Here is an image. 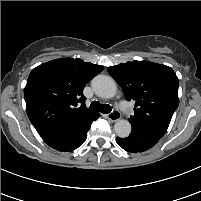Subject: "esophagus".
I'll return each mask as SVG.
<instances>
[{"label":"esophagus","instance_id":"obj_1","mask_svg":"<svg viewBox=\"0 0 201 201\" xmlns=\"http://www.w3.org/2000/svg\"><path fill=\"white\" fill-rule=\"evenodd\" d=\"M107 118L111 122H116L121 118V114L118 110H114L111 113L107 114Z\"/></svg>","mask_w":201,"mask_h":201}]
</instances>
